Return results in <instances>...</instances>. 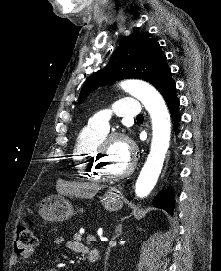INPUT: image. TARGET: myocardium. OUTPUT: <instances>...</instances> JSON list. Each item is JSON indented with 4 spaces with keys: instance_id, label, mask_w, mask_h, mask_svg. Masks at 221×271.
I'll return each instance as SVG.
<instances>
[{
    "instance_id": "f54148a6",
    "label": "myocardium",
    "mask_w": 221,
    "mask_h": 271,
    "mask_svg": "<svg viewBox=\"0 0 221 271\" xmlns=\"http://www.w3.org/2000/svg\"><path fill=\"white\" fill-rule=\"evenodd\" d=\"M114 142H124L128 146L129 150L134 148L132 145L135 144L134 140H130V133H112V137H108V140H104V145H98L97 149L100 150V155H106L110 150V145H114ZM130 167H127L126 170H122V173H108V166L105 165L103 158L99 156L96 158V163H98L97 172H99L100 178H112V179H127V175H131V172L137 169V162L135 157H130Z\"/></svg>"
}]
</instances>
